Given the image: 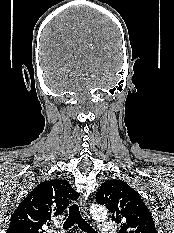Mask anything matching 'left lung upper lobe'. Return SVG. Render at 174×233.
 Listing matches in <instances>:
<instances>
[{"label": "left lung upper lobe", "mask_w": 174, "mask_h": 233, "mask_svg": "<svg viewBox=\"0 0 174 233\" xmlns=\"http://www.w3.org/2000/svg\"><path fill=\"white\" fill-rule=\"evenodd\" d=\"M96 202L105 204L112 220L121 224L119 233H157L149 209L124 181L104 182L96 193Z\"/></svg>", "instance_id": "left-lung-upper-lobe-1"}]
</instances>
